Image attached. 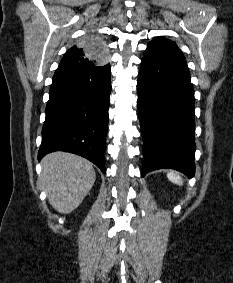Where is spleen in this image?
<instances>
[{"mask_svg":"<svg viewBox=\"0 0 233 283\" xmlns=\"http://www.w3.org/2000/svg\"><path fill=\"white\" fill-rule=\"evenodd\" d=\"M167 177L174 184H177V185H182L183 184V181H182L181 177L179 175L175 174L174 172H169L167 174Z\"/></svg>","mask_w":233,"mask_h":283,"instance_id":"spleen-1","label":"spleen"}]
</instances>
